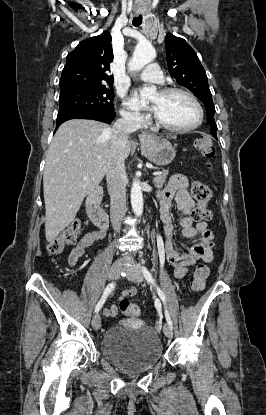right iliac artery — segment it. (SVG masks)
I'll return each mask as SVG.
<instances>
[{
    "instance_id": "1",
    "label": "right iliac artery",
    "mask_w": 266,
    "mask_h": 415,
    "mask_svg": "<svg viewBox=\"0 0 266 415\" xmlns=\"http://www.w3.org/2000/svg\"><path fill=\"white\" fill-rule=\"evenodd\" d=\"M115 288V283L112 282L110 284L107 285V287L105 288L103 295L101 297V299L99 300V302L97 303L96 307H95V312L98 313L99 310L102 308L103 304L105 303V300L107 299L108 295L114 290Z\"/></svg>"
}]
</instances>
